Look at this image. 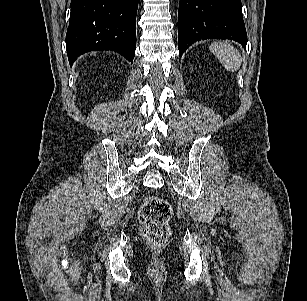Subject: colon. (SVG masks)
Returning a JSON list of instances; mask_svg holds the SVG:
<instances>
[{
	"label": "colon",
	"mask_w": 307,
	"mask_h": 301,
	"mask_svg": "<svg viewBox=\"0 0 307 301\" xmlns=\"http://www.w3.org/2000/svg\"><path fill=\"white\" fill-rule=\"evenodd\" d=\"M138 218L142 224L140 234L150 245L162 246L168 241L172 208L167 200L158 196L147 197L138 210Z\"/></svg>",
	"instance_id": "1"
}]
</instances>
